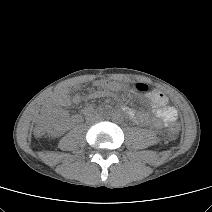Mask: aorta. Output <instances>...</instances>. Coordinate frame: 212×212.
Masks as SVG:
<instances>
[{"label": "aorta", "mask_w": 212, "mask_h": 212, "mask_svg": "<svg viewBox=\"0 0 212 212\" xmlns=\"http://www.w3.org/2000/svg\"><path fill=\"white\" fill-rule=\"evenodd\" d=\"M111 120H112V122L115 123V124H121V123H123L124 120H125V115H124V113L121 112V111H115V112H113L112 115H111Z\"/></svg>", "instance_id": "aorta-1"}]
</instances>
